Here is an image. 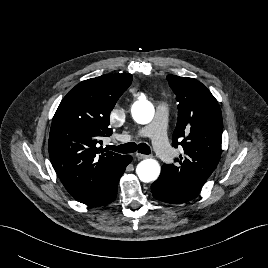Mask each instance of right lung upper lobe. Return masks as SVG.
Segmentation results:
<instances>
[{
	"mask_svg": "<svg viewBox=\"0 0 268 268\" xmlns=\"http://www.w3.org/2000/svg\"><path fill=\"white\" fill-rule=\"evenodd\" d=\"M130 73L105 74L76 85L53 117L48 150L52 166L67 191L88 204L125 157L101 152L98 144L112 134L109 116L132 82Z\"/></svg>",
	"mask_w": 268,
	"mask_h": 268,
	"instance_id": "right-lung-upper-lobe-1",
	"label": "right lung upper lobe"
}]
</instances>
